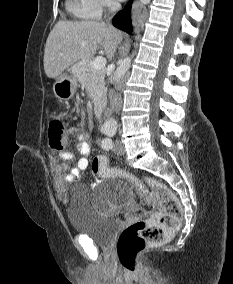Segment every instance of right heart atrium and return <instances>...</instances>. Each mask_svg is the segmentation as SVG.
<instances>
[{
    "label": "right heart atrium",
    "instance_id": "obj_1",
    "mask_svg": "<svg viewBox=\"0 0 233 284\" xmlns=\"http://www.w3.org/2000/svg\"><path fill=\"white\" fill-rule=\"evenodd\" d=\"M102 8L111 9L116 5V0H99Z\"/></svg>",
    "mask_w": 233,
    "mask_h": 284
}]
</instances>
